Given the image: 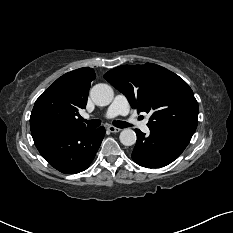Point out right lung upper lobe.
Listing matches in <instances>:
<instances>
[{
  "instance_id": "right-lung-upper-lobe-1",
  "label": "right lung upper lobe",
  "mask_w": 233,
  "mask_h": 233,
  "mask_svg": "<svg viewBox=\"0 0 233 233\" xmlns=\"http://www.w3.org/2000/svg\"><path fill=\"white\" fill-rule=\"evenodd\" d=\"M95 78L92 68H80L58 78L36 100L30 116L31 132L86 128L77 116L86 106L90 83Z\"/></svg>"
}]
</instances>
